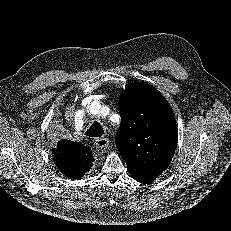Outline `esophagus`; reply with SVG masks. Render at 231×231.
Segmentation results:
<instances>
[{
	"label": "esophagus",
	"mask_w": 231,
	"mask_h": 231,
	"mask_svg": "<svg viewBox=\"0 0 231 231\" xmlns=\"http://www.w3.org/2000/svg\"><path fill=\"white\" fill-rule=\"evenodd\" d=\"M95 145L99 149H106L110 145V140L108 138L101 137L95 141Z\"/></svg>",
	"instance_id": "1"
}]
</instances>
